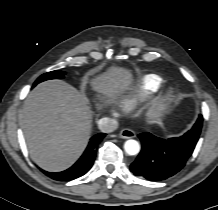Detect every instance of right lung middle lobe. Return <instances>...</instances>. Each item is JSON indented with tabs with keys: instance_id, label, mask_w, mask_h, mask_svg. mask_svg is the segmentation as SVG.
Returning a JSON list of instances; mask_svg holds the SVG:
<instances>
[{
	"instance_id": "dd1d6c3e",
	"label": "right lung middle lobe",
	"mask_w": 218,
	"mask_h": 210,
	"mask_svg": "<svg viewBox=\"0 0 218 210\" xmlns=\"http://www.w3.org/2000/svg\"><path fill=\"white\" fill-rule=\"evenodd\" d=\"M65 75V72L63 71H60V70H55V71H51V72H48V73H45L43 75H41L37 80L36 82L34 83V85L42 82V81H45V80H49V79H62Z\"/></svg>"
}]
</instances>
